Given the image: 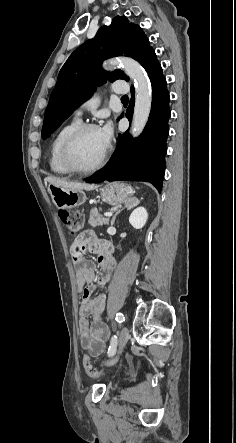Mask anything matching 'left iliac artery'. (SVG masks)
<instances>
[{"instance_id":"44dca946","label":"left iliac artery","mask_w":236,"mask_h":443,"mask_svg":"<svg viewBox=\"0 0 236 443\" xmlns=\"http://www.w3.org/2000/svg\"><path fill=\"white\" fill-rule=\"evenodd\" d=\"M115 320L118 323H123L125 321V317L122 313L119 312L116 314ZM116 346H117V336L114 335L110 341V346L108 348V356H113L115 354Z\"/></svg>"}]
</instances>
